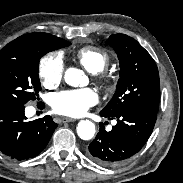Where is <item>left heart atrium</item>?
Listing matches in <instances>:
<instances>
[{"instance_id": "39dd6f15", "label": "left heart atrium", "mask_w": 183, "mask_h": 183, "mask_svg": "<svg viewBox=\"0 0 183 183\" xmlns=\"http://www.w3.org/2000/svg\"><path fill=\"white\" fill-rule=\"evenodd\" d=\"M97 102L98 96L91 88L64 90L51 98L54 112L71 117L81 116Z\"/></svg>"}]
</instances>
